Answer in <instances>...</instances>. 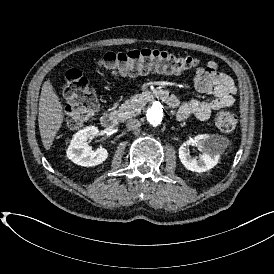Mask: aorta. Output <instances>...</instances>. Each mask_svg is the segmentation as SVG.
I'll return each instance as SVG.
<instances>
[{
	"label": "aorta",
	"mask_w": 274,
	"mask_h": 274,
	"mask_svg": "<svg viewBox=\"0 0 274 274\" xmlns=\"http://www.w3.org/2000/svg\"><path fill=\"white\" fill-rule=\"evenodd\" d=\"M146 117L151 126L159 127L163 125L166 120L165 108L160 102L155 101L147 110Z\"/></svg>",
	"instance_id": "aorta-1"
}]
</instances>
